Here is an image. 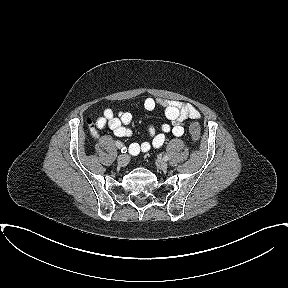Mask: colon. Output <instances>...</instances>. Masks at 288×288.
I'll return each instance as SVG.
<instances>
[{
  "mask_svg": "<svg viewBox=\"0 0 288 288\" xmlns=\"http://www.w3.org/2000/svg\"><path fill=\"white\" fill-rule=\"evenodd\" d=\"M88 123L91 124V121L88 120ZM189 134L194 143H197L201 137V128L197 122H192L189 127Z\"/></svg>",
  "mask_w": 288,
  "mask_h": 288,
  "instance_id": "obj_1",
  "label": "colon"
}]
</instances>
